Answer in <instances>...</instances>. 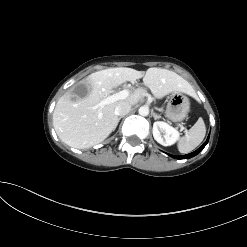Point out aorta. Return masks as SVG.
<instances>
[{
  "instance_id": "762f6f07",
  "label": "aorta",
  "mask_w": 247,
  "mask_h": 247,
  "mask_svg": "<svg viewBox=\"0 0 247 247\" xmlns=\"http://www.w3.org/2000/svg\"><path fill=\"white\" fill-rule=\"evenodd\" d=\"M138 112L141 116H147L149 114V108L147 106H141Z\"/></svg>"
}]
</instances>
